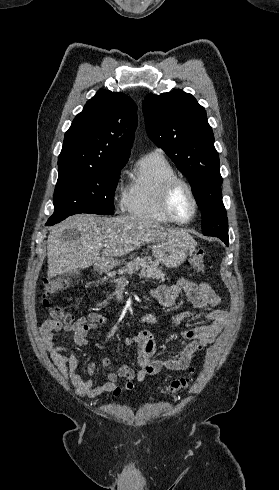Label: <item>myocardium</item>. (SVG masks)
<instances>
[{"mask_svg":"<svg viewBox=\"0 0 279 490\" xmlns=\"http://www.w3.org/2000/svg\"><path fill=\"white\" fill-rule=\"evenodd\" d=\"M185 187L191 197L193 204V211L190 217L186 220L179 219L174 210V198L180 188ZM162 207L165 214L175 223L177 224H188L190 223L196 216L198 212V200L196 197L195 189L192 183L186 178L175 176L168 180L166 183L163 195H162Z\"/></svg>","mask_w":279,"mask_h":490,"instance_id":"obj_1","label":"myocardium"}]
</instances>
